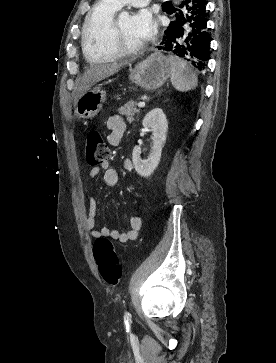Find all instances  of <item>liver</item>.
<instances>
[{
  "label": "liver",
  "instance_id": "1",
  "mask_svg": "<svg viewBox=\"0 0 276 363\" xmlns=\"http://www.w3.org/2000/svg\"><path fill=\"white\" fill-rule=\"evenodd\" d=\"M128 62H122V63H109V64H100V65H93L86 69L84 72L78 89L75 96V105L78 100V98L86 92L88 89H90L94 84L97 82L108 78L115 73H117L123 66L127 65Z\"/></svg>",
  "mask_w": 276,
  "mask_h": 363
}]
</instances>
